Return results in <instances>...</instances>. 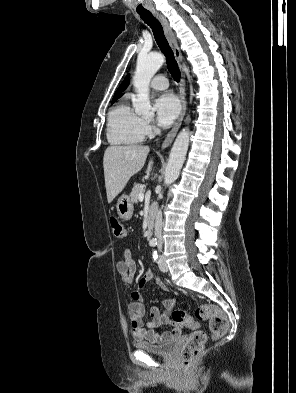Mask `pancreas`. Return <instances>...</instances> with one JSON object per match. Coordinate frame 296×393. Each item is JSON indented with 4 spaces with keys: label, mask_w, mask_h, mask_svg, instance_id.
Listing matches in <instances>:
<instances>
[{
    "label": "pancreas",
    "mask_w": 296,
    "mask_h": 393,
    "mask_svg": "<svg viewBox=\"0 0 296 393\" xmlns=\"http://www.w3.org/2000/svg\"><path fill=\"white\" fill-rule=\"evenodd\" d=\"M145 185L144 184H136L134 185L132 192L130 193V199L132 203H138V196L143 192Z\"/></svg>",
    "instance_id": "obj_1"
}]
</instances>
